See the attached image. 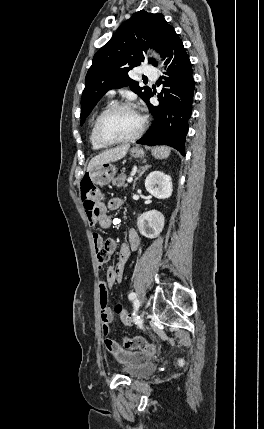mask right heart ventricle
I'll return each instance as SVG.
<instances>
[{"label":"right heart ventricle","instance_id":"right-heart-ventricle-1","mask_svg":"<svg viewBox=\"0 0 264 429\" xmlns=\"http://www.w3.org/2000/svg\"><path fill=\"white\" fill-rule=\"evenodd\" d=\"M108 106H103V107H101L97 112H96V114L94 115V117H93V119H92V122H91V127H90V133H89V139H90V143H91V145H92V147H93V149H95V150H100V149H103V148H105L106 146H104V145H101L100 143H98L97 142V140L95 139V137H94V125H95V122H96V120H97V118L99 117V115L107 108Z\"/></svg>","mask_w":264,"mask_h":429}]
</instances>
